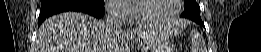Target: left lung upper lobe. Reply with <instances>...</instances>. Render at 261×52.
Returning a JSON list of instances; mask_svg holds the SVG:
<instances>
[{
  "mask_svg": "<svg viewBox=\"0 0 261 52\" xmlns=\"http://www.w3.org/2000/svg\"><path fill=\"white\" fill-rule=\"evenodd\" d=\"M185 9L182 17L191 19L200 25H204L200 17V7L196 0H184Z\"/></svg>",
  "mask_w": 261,
  "mask_h": 52,
  "instance_id": "left-lung-upper-lobe-1",
  "label": "left lung upper lobe"
}]
</instances>
